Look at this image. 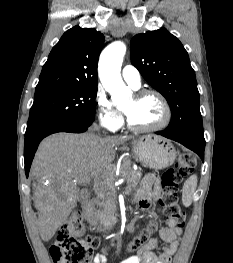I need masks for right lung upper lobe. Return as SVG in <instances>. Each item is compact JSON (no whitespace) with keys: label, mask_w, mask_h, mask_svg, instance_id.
<instances>
[{"label":"right lung upper lobe","mask_w":233,"mask_h":263,"mask_svg":"<svg viewBox=\"0 0 233 263\" xmlns=\"http://www.w3.org/2000/svg\"><path fill=\"white\" fill-rule=\"evenodd\" d=\"M104 36L75 26L53 47L42 68L35 95L76 86H97V64Z\"/></svg>","instance_id":"right-lung-upper-lobe-1"}]
</instances>
